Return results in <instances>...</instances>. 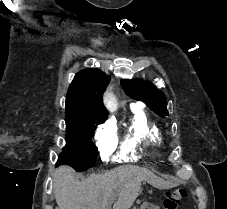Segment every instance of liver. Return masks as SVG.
Segmentation results:
<instances>
[{
    "instance_id": "6515ba94",
    "label": "liver",
    "mask_w": 227,
    "mask_h": 209,
    "mask_svg": "<svg viewBox=\"0 0 227 209\" xmlns=\"http://www.w3.org/2000/svg\"><path fill=\"white\" fill-rule=\"evenodd\" d=\"M150 179H155V175L148 169L123 165L105 175H92L81 183L74 169L62 165L53 175L54 197L59 209H106L109 197L118 189L115 209H129L139 195L141 181ZM124 195L130 201L119 205Z\"/></svg>"
}]
</instances>
